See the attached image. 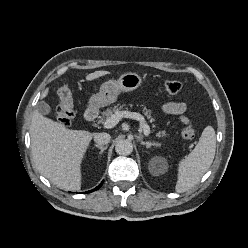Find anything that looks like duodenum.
Here are the masks:
<instances>
[{
	"mask_svg": "<svg viewBox=\"0 0 248 248\" xmlns=\"http://www.w3.org/2000/svg\"><path fill=\"white\" fill-rule=\"evenodd\" d=\"M97 117H98V111L94 107L87 109L84 114L85 121L89 123L94 122L97 119Z\"/></svg>",
	"mask_w": 248,
	"mask_h": 248,
	"instance_id": "obj_1",
	"label": "duodenum"
}]
</instances>
